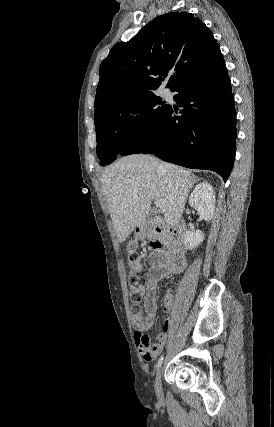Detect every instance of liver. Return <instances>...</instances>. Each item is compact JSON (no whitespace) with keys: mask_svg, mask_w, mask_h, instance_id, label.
<instances>
[{"mask_svg":"<svg viewBox=\"0 0 274 427\" xmlns=\"http://www.w3.org/2000/svg\"><path fill=\"white\" fill-rule=\"evenodd\" d=\"M101 180L118 241L145 223L151 200H161L165 223L175 225L195 184L188 170L143 154L119 158Z\"/></svg>","mask_w":274,"mask_h":427,"instance_id":"obj_1","label":"liver"}]
</instances>
